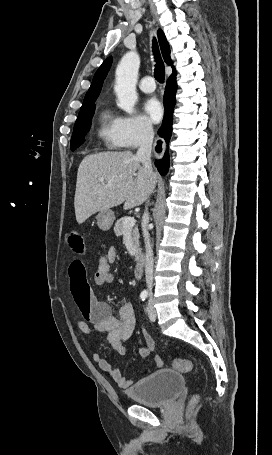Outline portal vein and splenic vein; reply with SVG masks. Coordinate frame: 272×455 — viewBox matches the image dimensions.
Listing matches in <instances>:
<instances>
[{"mask_svg":"<svg viewBox=\"0 0 272 455\" xmlns=\"http://www.w3.org/2000/svg\"><path fill=\"white\" fill-rule=\"evenodd\" d=\"M104 179H100V182H103ZM125 230L131 229L135 225V219L132 217H127L123 222Z\"/></svg>","mask_w":272,"mask_h":455,"instance_id":"18ae733b","label":"portal vein and splenic vein"}]
</instances>
